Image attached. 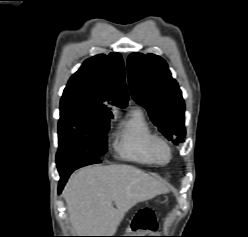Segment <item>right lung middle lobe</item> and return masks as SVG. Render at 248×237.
Instances as JSON below:
<instances>
[{
  "label": "right lung middle lobe",
  "instance_id": "obj_1",
  "mask_svg": "<svg viewBox=\"0 0 248 237\" xmlns=\"http://www.w3.org/2000/svg\"><path fill=\"white\" fill-rule=\"evenodd\" d=\"M112 115H97L73 105H60L58 157L106 153Z\"/></svg>",
  "mask_w": 248,
  "mask_h": 237
}]
</instances>
